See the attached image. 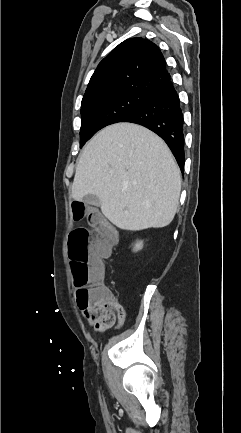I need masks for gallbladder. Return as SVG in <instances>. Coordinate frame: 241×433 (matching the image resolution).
Here are the masks:
<instances>
[{
  "label": "gallbladder",
  "instance_id": "1",
  "mask_svg": "<svg viewBox=\"0 0 241 433\" xmlns=\"http://www.w3.org/2000/svg\"><path fill=\"white\" fill-rule=\"evenodd\" d=\"M83 202L86 205H99L100 204V200L97 196L93 195V194H87L83 197Z\"/></svg>",
  "mask_w": 241,
  "mask_h": 433
}]
</instances>
